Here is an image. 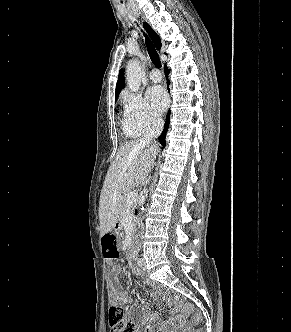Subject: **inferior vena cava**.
<instances>
[{
    "label": "inferior vena cava",
    "mask_w": 291,
    "mask_h": 332,
    "mask_svg": "<svg viewBox=\"0 0 291 332\" xmlns=\"http://www.w3.org/2000/svg\"><path fill=\"white\" fill-rule=\"evenodd\" d=\"M163 120L162 119H154L151 122L148 132L141 139V142L146 145H150L152 140L157 138L162 130H163Z\"/></svg>",
    "instance_id": "602c4592"
}]
</instances>
